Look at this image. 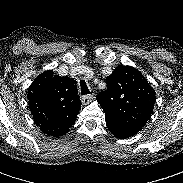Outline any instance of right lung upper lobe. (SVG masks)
Listing matches in <instances>:
<instances>
[{"label": "right lung upper lobe", "instance_id": "right-lung-upper-lobe-1", "mask_svg": "<svg viewBox=\"0 0 183 183\" xmlns=\"http://www.w3.org/2000/svg\"><path fill=\"white\" fill-rule=\"evenodd\" d=\"M27 98L35 124L54 137L69 131L81 109L76 81L53 75V70L43 72L33 81Z\"/></svg>", "mask_w": 183, "mask_h": 183}]
</instances>
